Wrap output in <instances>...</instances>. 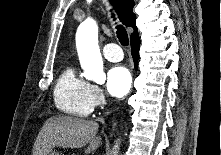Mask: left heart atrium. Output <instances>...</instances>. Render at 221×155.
<instances>
[{"label": "left heart atrium", "mask_w": 221, "mask_h": 155, "mask_svg": "<svg viewBox=\"0 0 221 155\" xmlns=\"http://www.w3.org/2000/svg\"><path fill=\"white\" fill-rule=\"evenodd\" d=\"M131 74L123 66H115L107 74V90L114 97H123L131 87Z\"/></svg>", "instance_id": "39dd6f15"}]
</instances>
